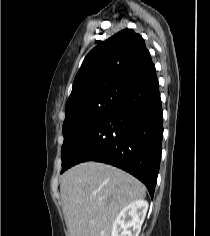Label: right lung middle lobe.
Here are the masks:
<instances>
[{
  "label": "right lung middle lobe",
  "instance_id": "1",
  "mask_svg": "<svg viewBox=\"0 0 210 236\" xmlns=\"http://www.w3.org/2000/svg\"><path fill=\"white\" fill-rule=\"evenodd\" d=\"M123 91H109L83 100L66 110L63 123L62 167L103 116L117 103Z\"/></svg>",
  "mask_w": 210,
  "mask_h": 236
}]
</instances>
